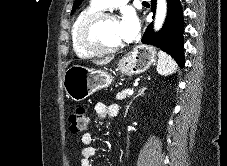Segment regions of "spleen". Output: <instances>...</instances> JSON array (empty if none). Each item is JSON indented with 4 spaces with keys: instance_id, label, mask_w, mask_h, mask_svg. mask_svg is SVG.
<instances>
[{
    "instance_id": "obj_1",
    "label": "spleen",
    "mask_w": 227,
    "mask_h": 166,
    "mask_svg": "<svg viewBox=\"0 0 227 166\" xmlns=\"http://www.w3.org/2000/svg\"><path fill=\"white\" fill-rule=\"evenodd\" d=\"M156 69L160 75L167 76L176 71L177 65L168 54L163 51H159Z\"/></svg>"
}]
</instances>
